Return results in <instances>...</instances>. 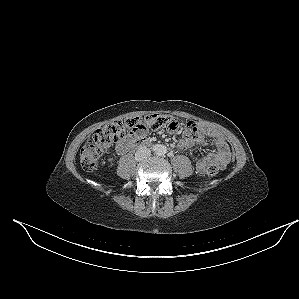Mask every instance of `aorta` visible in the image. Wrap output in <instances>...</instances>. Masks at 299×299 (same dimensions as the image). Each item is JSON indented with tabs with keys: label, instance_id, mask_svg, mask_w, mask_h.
Instances as JSON below:
<instances>
[{
	"label": "aorta",
	"instance_id": "aorta-1",
	"mask_svg": "<svg viewBox=\"0 0 299 299\" xmlns=\"http://www.w3.org/2000/svg\"><path fill=\"white\" fill-rule=\"evenodd\" d=\"M166 151H167L166 147L163 146V145H160V146H158L156 152H157V154H159V155H163V154L166 153Z\"/></svg>",
	"mask_w": 299,
	"mask_h": 299
}]
</instances>
